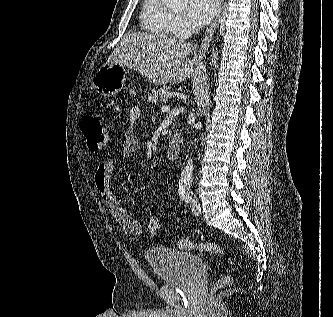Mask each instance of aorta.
I'll use <instances>...</instances> for the list:
<instances>
[{
    "mask_svg": "<svg viewBox=\"0 0 333 317\" xmlns=\"http://www.w3.org/2000/svg\"><path fill=\"white\" fill-rule=\"evenodd\" d=\"M166 5L169 7H182L187 4L188 0H164ZM218 60V50L214 49L211 53V64L216 67ZM193 180V159L189 158L187 160L186 166L184 167L181 177H180V184L190 185Z\"/></svg>",
    "mask_w": 333,
    "mask_h": 317,
    "instance_id": "1",
    "label": "aorta"
}]
</instances>
